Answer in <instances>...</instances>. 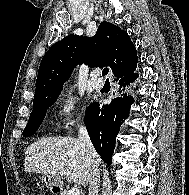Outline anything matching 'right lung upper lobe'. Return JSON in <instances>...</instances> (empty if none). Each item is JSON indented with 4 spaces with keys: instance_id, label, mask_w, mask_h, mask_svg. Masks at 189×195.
<instances>
[{
    "instance_id": "obj_1",
    "label": "right lung upper lobe",
    "mask_w": 189,
    "mask_h": 195,
    "mask_svg": "<svg viewBox=\"0 0 189 195\" xmlns=\"http://www.w3.org/2000/svg\"><path fill=\"white\" fill-rule=\"evenodd\" d=\"M110 66L121 78L137 66V53L128 34L108 22H101L93 37L68 35L55 43L44 55L36 81L34 101L61 93L77 65Z\"/></svg>"
}]
</instances>
